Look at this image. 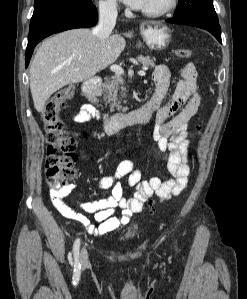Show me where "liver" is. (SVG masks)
Listing matches in <instances>:
<instances>
[{"instance_id":"obj_1","label":"liver","mask_w":247,"mask_h":299,"mask_svg":"<svg viewBox=\"0 0 247 299\" xmlns=\"http://www.w3.org/2000/svg\"><path fill=\"white\" fill-rule=\"evenodd\" d=\"M126 45L118 34L105 43L90 29H72L43 41L30 66V90L41 112L50 96L66 85L80 83L112 64Z\"/></svg>"}]
</instances>
